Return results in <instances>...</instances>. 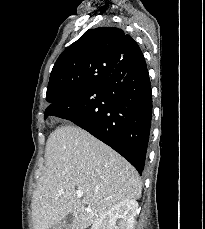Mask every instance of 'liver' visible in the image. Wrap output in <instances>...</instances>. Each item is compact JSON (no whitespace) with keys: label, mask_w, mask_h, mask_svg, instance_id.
I'll use <instances>...</instances> for the list:
<instances>
[{"label":"liver","mask_w":205,"mask_h":229,"mask_svg":"<svg viewBox=\"0 0 205 229\" xmlns=\"http://www.w3.org/2000/svg\"><path fill=\"white\" fill-rule=\"evenodd\" d=\"M45 157L32 203L34 229H50L70 213L71 229H86L115 204L141 196L135 168L79 127L52 132ZM77 191L83 192L81 198Z\"/></svg>","instance_id":"1"}]
</instances>
